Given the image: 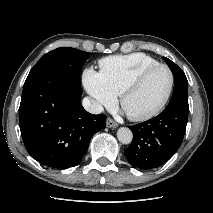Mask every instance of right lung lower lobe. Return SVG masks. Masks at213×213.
<instances>
[{"label": "right lung lower lobe", "instance_id": "98d812e1", "mask_svg": "<svg viewBox=\"0 0 213 213\" xmlns=\"http://www.w3.org/2000/svg\"><path fill=\"white\" fill-rule=\"evenodd\" d=\"M82 89L66 75L40 71L28 75L21 98L19 124L27 152L41 164L77 166L91 137L105 128L106 116L88 113Z\"/></svg>", "mask_w": 213, "mask_h": 213}]
</instances>
